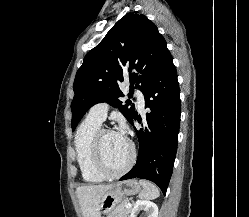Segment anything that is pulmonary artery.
Returning a JSON list of instances; mask_svg holds the SVG:
<instances>
[{
  "instance_id": "obj_1",
  "label": "pulmonary artery",
  "mask_w": 249,
  "mask_h": 217,
  "mask_svg": "<svg viewBox=\"0 0 249 217\" xmlns=\"http://www.w3.org/2000/svg\"><path fill=\"white\" fill-rule=\"evenodd\" d=\"M136 95H137L138 107L139 109L142 110L145 104L143 93L140 91H137ZM108 109H109V105L107 103H98L90 109L88 116L100 122H103L106 119Z\"/></svg>"
}]
</instances>
